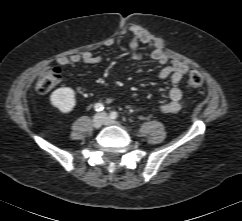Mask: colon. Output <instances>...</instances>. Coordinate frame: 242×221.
<instances>
[{
	"label": "colon",
	"instance_id": "obj_1",
	"mask_svg": "<svg viewBox=\"0 0 242 221\" xmlns=\"http://www.w3.org/2000/svg\"><path fill=\"white\" fill-rule=\"evenodd\" d=\"M61 70L58 67H52L45 70L37 80L36 89L39 93L45 94L50 92L60 81ZM188 83L193 88H198L203 84L202 74L192 69L189 73Z\"/></svg>",
	"mask_w": 242,
	"mask_h": 221
}]
</instances>
